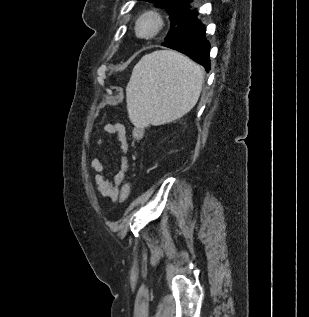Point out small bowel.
<instances>
[{
  "instance_id": "1",
  "label": "small bowel",
  "mask_w": 309,
  "mask_h": 317,
  "mask_svg": "<svg viewBox=\"0 0 309 317\" xmlns=\"http://www.w3.org/2000/svg\"><path fill=\"white\" fill-rule=\"evenodd\" d=\"M104 130L117 137L121 154V169L110 180L106 175V165L101 160L97 158L93 159L90 163V168L96 172L94 185L99 195L109 198L111 202H116L121 197L122 184L128 170L126 159L129 151L128 136L125 127L120 123H107L104 126ZM103 144L104 140H100L99 146L102 147Z\"/></svg>"
}]
</instances>
